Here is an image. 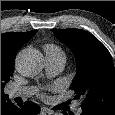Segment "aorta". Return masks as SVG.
Wrapping results in <instances>:
<instances>
[{
    "instance_id": "obj_1",
    "label": "aorta",
    "mask_w": 115,
    "mask_h": 115,
    "mask_svg": "<svg viewBox=\"0 0 115 115\" xmlns=\"http://www.w3.org/2000/svg\"><path fill=\"white\" fill-rule=\"evenodd\" d=\"M16 67L21 75L33 77L37 75L43 68V56L38 50L24 49L17 55ZM54 115L63 114L56 112Z\"/></svg>"
}]
</instances>
